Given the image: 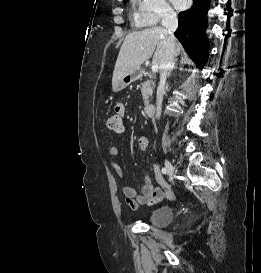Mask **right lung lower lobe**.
<instances>
[{
	"mask_svg": "<svg viewBox=\"0 0 261 273\" xmlns=\"http://www.w3.org/2000/svg\"><path fill=\"white\" fill-rule=\"evenodd\" d=\"M193 2L189 10L179 13V26L174 35L197 66L202 68L209 50L205 30L210 0H193Z\"/></svg>",
	"mask_w": 261,
	"mask_h": 273,
	"instance_id": "obj_1",
	"label": "right lung lower lobe"
}]
</instances>
